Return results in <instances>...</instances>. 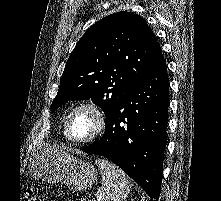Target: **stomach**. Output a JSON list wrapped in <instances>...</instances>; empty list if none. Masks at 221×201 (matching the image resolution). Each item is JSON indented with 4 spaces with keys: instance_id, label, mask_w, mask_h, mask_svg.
Wrapping results in <instances>:
<instances>
[{
    "instance_id": "obj_1",
    "label": "stomach",
    "mask_w": 221,
    "mask_h": 201,
    "mask_svg": "<svg viewBox=\"0 0 221 201\" xmlns=\"http://www.w3.org/2000/svg\"><path fill=\"white\" fill-rule=\"evenodd\" d=\"M28 172L33 178L60 182L79 191L87 190L97 182V170L91 163L50 148L29 158Z\"/></svg>"
}]
</instances>
